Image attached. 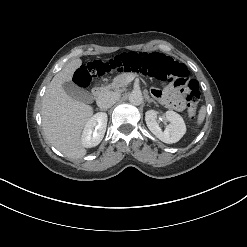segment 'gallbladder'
<instances>
[{"label":"gallbladder","mask_w":247,"mask_h":247,"mask_svg":"<svg viewBox=\"0 0 247 247\" xmlns=\"http://www.w3.org/2000/svg\"><path fill=\"white\" fill-rule=\"evenodd\" d=\"M64 91L74 100L81 101L84 103L92 102V95L89 91L84 90L72 82H66L63 84Z\"/></svg>","instance_id":"gallbladder-1"}]
</instances>
